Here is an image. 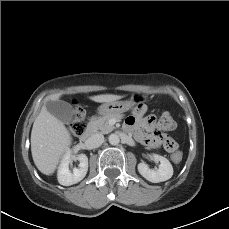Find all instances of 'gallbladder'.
<instances>
[{
  "label": "gallbladder",
  "instance_id": "gallbladder-1",
  "mask_svg": "<svg viewBox=\"0 0 229 229\" xmlns=\"http://www.w3.org/2000/svg\"><path fill=\"white\" fill-rule=\"evenodd\" d=\"M47 110L63 123H70L74 117L72 106L65 101H49Z\"/></svg>",
  "mask_w": 229,
  "mask_h": 229
}]
</instances>
